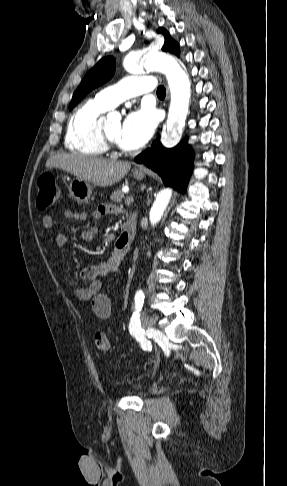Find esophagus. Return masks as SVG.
I'll return each instance as SVG.
<instances>
[{
	"label": "esophagus",
	"mask_w": 287,
	"mask_h": 486,
	"mask_svg": "<svg viewBox=\"0 0 287 486\" xmlns=\"http://www.w3.org/2000/svg\"><path fill=\"white\" fill-rule=\"evenodd\" d=\"M139 170H140V171H142L143 169H142V168H140Z\"/></svg>",
	"instance_id": "esophagus-1"
}]
</instances>
